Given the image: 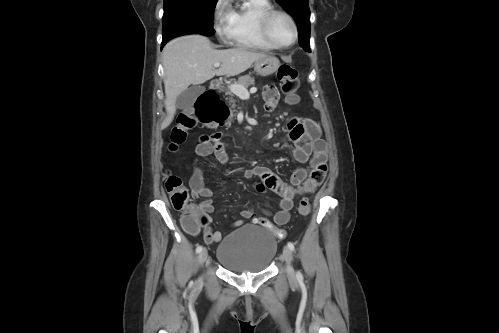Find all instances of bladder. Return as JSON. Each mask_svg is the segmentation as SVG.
<instances>
[{
	"label": "bladder",
	"mask_w": 499,
	"mask_h": 333,
	"mask_svg": "<svg viewBox=\"0 0 499 333\" xmlns=\"http://www.w3.org/2000/svg\"><path fill=\"white\" fill-rule=\"evenodd\" d=\"M277 240L264 228L247 224L226 235L218 245L216 259L233 273L266 271L276 255Z\"/></svg>",
	"instance_id": "bladder-1"
}]
</instances>
